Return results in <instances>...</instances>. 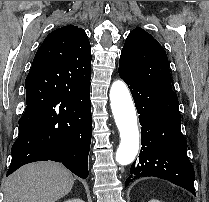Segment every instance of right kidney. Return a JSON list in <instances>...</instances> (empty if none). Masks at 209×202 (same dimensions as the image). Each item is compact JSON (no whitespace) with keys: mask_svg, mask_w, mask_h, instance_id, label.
Here are the masks:
<instances>
[{"mask_svg":"<svg viewBox=\"0 0 209 202\" xmlns=\"http://www.w3.org/2000/svg\"><path fill=\"white\" fill-rule=\"evenodd\" d=\"M65 202H84V201L81 200V199H70V200H67Z\"/></svg>","mask_w":209,"mask_h":202,"instance_id":"obj_1","label":"right kidney"}]
</instances>
